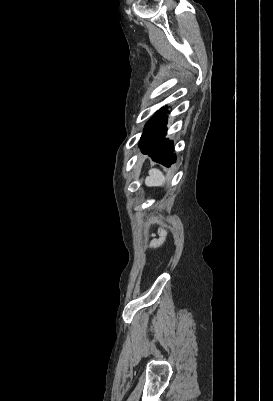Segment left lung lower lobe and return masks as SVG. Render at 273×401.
<instances>
[{
    "label": "left lung lower lobe",
    "instance_id": "0a47b994",
    "mask_svg": "<svg viewBox=\"0 0 273 401\" xmlns=\"http://www.w3.org/2000/svg\"><path fill=\"white\" fill-rule=\"evenodd\" d=\"M167 112V108H161L148 121L139 147L143 154H148L154 161L169 167L176 158L173 154V142L165 138Z\"/></svg>",
    "mask_w": 273,
    "mask_h": 401
}]
</instances>
